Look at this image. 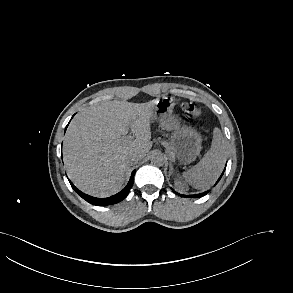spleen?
I'll return each mask as SVG.
<instances>
[{
    "label": "spleen",
    "mask_w": 293,
    "mask_h": 293,
    "mask_svg": "<svg viewBox=\"0 0 293 293\" xmlns=\"http://www.w3.org/2000/svg\"><path fill=\"white\" fill-rule=\"evenodd\" d=\"M226 159V144L219 128L213 131L211 148L202 160L183 173L185 180L196 189L213 185L222 172Z\"/></svg>",
    "instance_id": "3e777b00"
}]
</instances>
